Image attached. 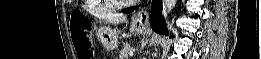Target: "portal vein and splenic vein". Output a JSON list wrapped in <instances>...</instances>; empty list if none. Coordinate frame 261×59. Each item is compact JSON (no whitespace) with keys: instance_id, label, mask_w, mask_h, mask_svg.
Returning a JSON list of instances; mask_svg holds the SVG:
<instances>
[{"instance_id":"portal-vein-and-splenic-vein-1","label":"portal vein and splenic vein","mask_w":261,"mask_h":59,"mask_svg":"<svg viewBox=\"0 0 261 59\" xmlns=\"http://www.w3.org/2000/svg\"><path fill=\"white\" fill-rule=\"evenodd\" d=\"M129 55H130V56H133V52H132V51H130V52H129Z\"/></svg>"}]
</instances>
